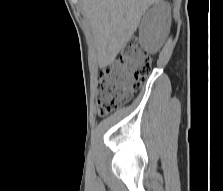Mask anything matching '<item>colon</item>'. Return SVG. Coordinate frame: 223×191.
<instances>
[{
    "mask_svg": "<svg viewBox=\"0 0 223 191\" xmlns=\"http://www.w3.org/2000/svg\"><path fill=\"white\" fill-rule=\"evenodd\" d=\"M152 58L136 40L124 47L121 56L101 74L97 88L100 116H106L128 102L150 75Z\"/></svg>",
    "mask_w": 223,
    "mask_h": 191,
    "instance_id": "5ec220e1",
    "label": "colon"
}]
</instances>
